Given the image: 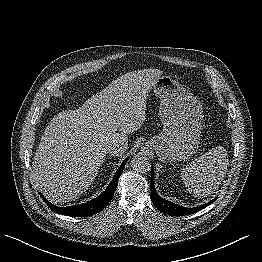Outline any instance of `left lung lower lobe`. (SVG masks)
<instances>
[{"label":"left lung lower lobe","mask_w":262,"mask_h":262,"mask_svg":"<svg viewBox=\"0 0 262 262\" xmlns=\"http://www.w3.org/2000/svg\"><path fill=\"white\" fill-rule=\"evenodd\" d=\"M150 191H151V200H152L154 206L157 209H159L160 211H162V212H164L168 215H172V216H185V215H190V214L196 213V212L200 211L201 209H204L206 206L210 205L212 202H214L216 200V198H215L212 201L205 203L201 206L194 207V208H186V207L179 206L177 204H174L170 201H167V200L161 198L155 190L153 166L151 168Z\"/></svg>","instance_id":"1"}]
</instances>
